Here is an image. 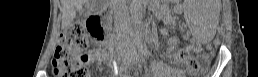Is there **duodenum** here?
Masks as SVG:
<instances>
[{
	"mask_svg": "<svg viewBox=\"0 0 258 77\" xmlns=\"http://www.w3.org/2000/svg\"><path fill=\"white\" fill-rule=\"evenodd\" d=\"M87 26H88V30L89 33L93 36V37H97L102 35V27L99 24V19L98 18H93V19H89L87 21ZM99 29H101V33H98Z\"/></svg>",
	"mask_w": 258,
	"mask_h": 77,
	"instance_id": "1",
	"label": "duodenum"
}]
</instances>
